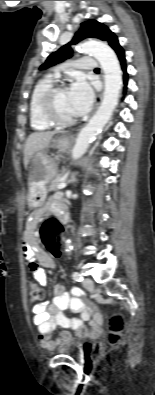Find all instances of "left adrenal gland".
I'll return each mask as SVG.
<instances>
[{
  "instance_id": "1",
  "label": "left adrenal gland",
  "mask_w": 155,
  "mask_h": 395,
  "mask_svg": "<svg viewBox=\"0 0 155 395\" xmlns=\"http://www.w3.org/2000/svg\"><path fill=\"white\" fill-rule=\"evenodd\" d=\"M71 181H75V178H74V174H72V179H71Z\"/></svg>"
}]
</instances>
